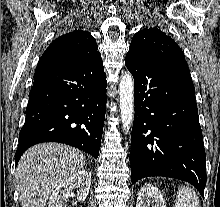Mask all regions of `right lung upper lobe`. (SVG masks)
<instances>
[{"mask_svg": "<svg viewBox=\"0 0 220 207\" xmlns=\"http://www.w3.org/2000/svg\"><path fill=\"white\" fill-rule=\"evenodd\" d=\"M94 37L87 31L74 30L56 38L40 58L38 65H60L84 60L97 53Z\"/></svg>", "mask_w": 220, "mask_h": 207, "instance_id": "1", "label": "right lung upper lobe"}]
</instances>
